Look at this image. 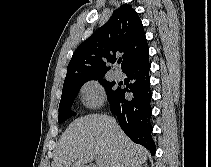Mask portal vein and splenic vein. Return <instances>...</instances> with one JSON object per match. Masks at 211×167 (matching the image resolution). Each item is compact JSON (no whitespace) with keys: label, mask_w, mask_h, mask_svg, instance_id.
Listing matches in <instances>:
<instances>
[{"label":"portal vein and splenic vein","mask_w":211,"mask_h":167,"mask_svg":"<svg viewBox=\"0 0 211 167\" xmlns=\"http://www.w3.org/2000/svg\"><path fill=\"white\" fill-rule=\"evenodd\" d=\"M96 163L98 167H105L104 160L101 157H96Z\"/></svg>","instance_id":"portal-vein-and-splenic-vein-1"}]
</instances>
